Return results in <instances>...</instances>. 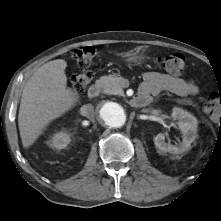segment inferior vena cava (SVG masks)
Instances as JSON below:
<instances>
[{
	"mask_svg": "<svg viewBox=\"0 0 221 221\" xmlns=\"http://www.w3.org/2000/svg\"><path fill=\"white\" fill-rule=\"evenodd\" d=\"M83 113L86 117L93 120L95 116L94 107L92 104H87L84 106Z\"/></svg>",
	"mask_w": 221,
	"mask_h": 221,
	"instance_id": "inferior-vena-cava-1",
	"label": "inferior vena cava"
}]
</instances>
